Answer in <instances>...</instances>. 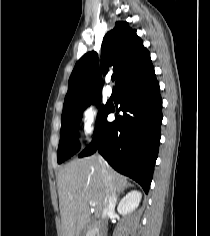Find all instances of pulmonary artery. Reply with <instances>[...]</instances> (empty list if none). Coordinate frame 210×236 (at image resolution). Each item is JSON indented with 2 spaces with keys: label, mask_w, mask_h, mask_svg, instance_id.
Segmentation results:
<instances>
[{
  "label": "pulmonary artery",
  "mask_w": 210,
  "mask_h": 236,
  "mask_svg": "<svg viewBox=\"0 0 210 236\" xmlns=\"http://www.w3.org/2000/svg\"><path fill=\"white\" fill-rule=\"evenodd\" d=\"M105 91H106V94H107L108 96H111L112 93H113L111 87H109V86L106 87V90H105Z\"/></svg>",
  "instance_id": "pulmonary-artery-1"
}]
</instances>
